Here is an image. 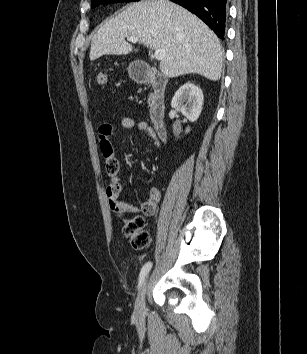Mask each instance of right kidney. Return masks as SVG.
Segmentation results:
<instances>
[{
  "label": "right kidney",
  "instance_id": "right-kidney-1",
  "mask_svg": "<svg viewBox=\"0 0 307 354\" xmlns=\"http://www.w3.org/2000/svg\"><path fill=\"white\" fill-rule=\"evenodd\" d=\"M204 96L202 90L191 82L182 85L171 101L172 108L180 111L190 122H195L203 106ZM189 128L186 129L188 133Z\"/></svg>",
  "mask_w": 307,
  "mask_h": 354
}]
</instances>
